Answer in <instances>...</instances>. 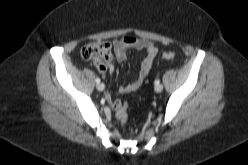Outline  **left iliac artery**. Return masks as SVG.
I'll return each instance as SVG.
<instances>
[{"mask_svg": "<svg viewBox=\"0 0 248 165\" xmlns=\"http://www.w3.org/2000/svg\"><path fill=\"white\" fill-rule=\"evenodd\" d=\"M160 83V80L159 79H156L155 80V84H159Z\"/></svg>", "mask_w": 248, "mask_h": 165, "instance_id": "left-iliac-artery-1", "label": "left iliac artery"}]
</instances>
